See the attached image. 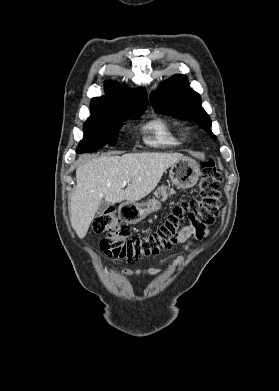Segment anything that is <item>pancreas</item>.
I'll list each match as a JSON object with an SVG mask.
<instances>
[{"label":"pancreas","instance_id":"1","mask_svg":"<svg viewBox=\"0 0 279 391\" xmlns=\"http://www.w3.org/2000/svg\"><path fill=\"white\" fill-rule=\"evenodd\" d=\"M175 193L173 189H169L166 186L159 187L155 192V197H162L163 200H166L168 196H171Z\"/></svg>","mask_w":279,"mask_h":391}]
</instances>
